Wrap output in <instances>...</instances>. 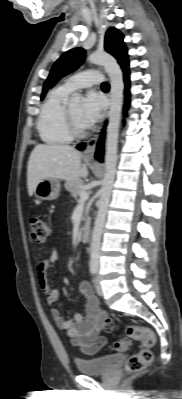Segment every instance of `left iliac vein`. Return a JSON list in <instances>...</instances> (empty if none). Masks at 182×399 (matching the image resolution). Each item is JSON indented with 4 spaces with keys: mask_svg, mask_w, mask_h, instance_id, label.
Listing matches in <instances>:
<instances>
[{
    "mask_svg": "<svg viewBox=\"0 0 182 399\" xmlns=\"http://www.w3.org/2000/svg\"><path fill=\"white\" fill-rule=\"evenodd\" d=\"M94 283H95V288H96L97 294H98L99 296H102V295H103V290H102V287H101V284H100L99 277H96V278H95Z\"/></svg>",
    "mask_w": 182,
    "mask_h": 399,
    "instance_id": "4c4485c4",
    "label": "left iliac vein"
}]
</instances>
